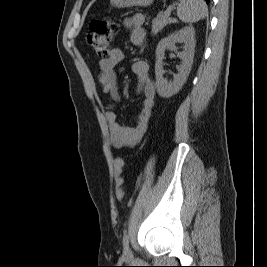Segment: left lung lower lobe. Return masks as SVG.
I'll return each mask as SVG.
<instances>
[{"mask_svg":"<svg viewBox=\"0 0 267 267\" xmlns=\"http://www.w3.org/2000/svg\"><path fill=\"white\" fill-rule=\"evenodd\" d=\"M207 3H209L210 2V0H205Z\"/></svg>","mask_w":267,"mask_h":267,"instance_id":"0a47b994","label":"left lung lower lobe"}]
</instances>
